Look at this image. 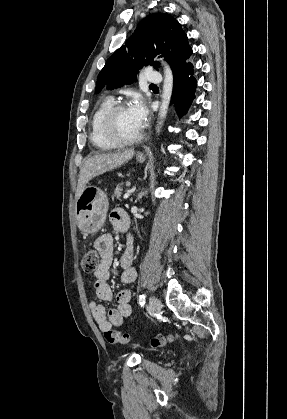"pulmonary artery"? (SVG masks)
<instances>
[{
  "label": "pulmonary artery",
  "instance_id": "pulmonary-artery-1",
  "mask_svg": "<svg viewBox=\"0 0 287 419\" xmlns=\"http://www.w3.org/2000/svg\"><path fill=\"white\" fill-rule=\"evenodd\" d=\"M145 82L149 83V84H159L162 82V75L157 72V71H153V70H148L145 73Z\"/></svg>",
  "mask_w": 287,
  "mask_h": 419
}]
</instances>
